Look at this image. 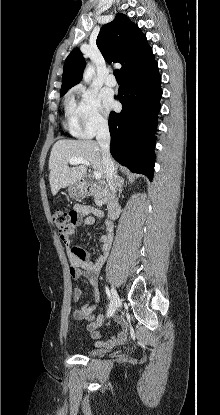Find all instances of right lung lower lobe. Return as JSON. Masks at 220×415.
Returning <instances> with one entry per match:
<instances>
[{
	"mask_svg": "<svg viewBox=\"0 0 220 415\" xmlns=\"http://www.w3.org/2000/svg\"><path fill=\"white\" fill-rule=\"evenodd\" d=\"M161 96V76L153 59L123 75L117 96L122 111H112L109 115L112 156L132 172L146 175L150 181L155 163L154 132Z\"/></svg>",
	"mask_w": 220,
	"mask_h": 415,
	"instance_id": "98d812e1",
	"label": "right lung lower lobe"
}]
</instances>
